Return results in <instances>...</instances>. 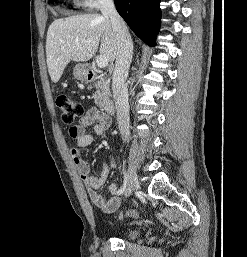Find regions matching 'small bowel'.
Instances as JSON below:
<instances>
[{
  "instance_id": "c3829d8e",
  "label": "small bowel",
  "mask_w": 247,
  "mask_h": 257,
  "mask_svg": "<svg viewBox=\"0 0 247 257\" xmlns=\"http://www.w3.org/2000/svg\"><path fill=\"white\" fill-rule=\"evenodd\" d=\"M93 127V133H87L88 127ZM110 120L102 114L97 108H89L81 117L77 125L69 128L70 137L76 139V147L71 149V157L77 167L79 175L83 180L87 190L90 201L100 208L105 213L115 212L120 205L119 189L115 183L109 185L108 189L111 194L110 197L105 198L98 193L105 182L107 181L112 169L114 168V162L109 156V164L103 163L102 170L99 175H89V165L82 157V148L90 145L93 142L94 136L103 135L109 128Z\"/></svg>"
}]
</instances>
